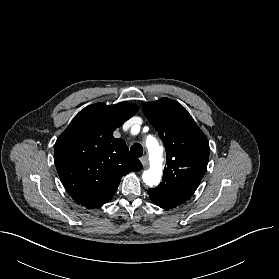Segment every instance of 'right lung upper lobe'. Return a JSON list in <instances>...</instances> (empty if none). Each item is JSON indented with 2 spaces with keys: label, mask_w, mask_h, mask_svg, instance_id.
I'll return each instance as SVG.
<instances>
[{
  "label": "right lung upper lobe",
  "mask_w": 279,
  "mask_h": 279,
  "mask_svg": "<svg viewBox=\"0 0 279 279\" xmlns=\"http://www.w3.org/2000/svg\"><path fill=\"white\" fill-rule=\"evenodd\" d=\"M137 111V105L128 102L89 105L57 139V172L79 204L91 209L103 206L114 196L122 176L142 169L125 141L113 137V131Z\"/></svg>",
  "instance_id": "cb5924a9"
}]
</instances>
